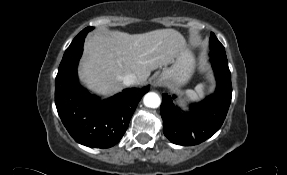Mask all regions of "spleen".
I'll return each instance as SVG.
<instances>
[{"label": "spleen", "instance_id": "1", "mask_svg": "<svg viewBox=\"0 0 287 175\" xmlns=\"http://www.w3.org/2000/svg\"><path fill=\"white\" fill-rule=\"evenodd\" d=\"M206 90V84H198L194 90L187 89L184 91L186 99L191 102H197L204 98Z\"/></svg>", "mask_w": 287, "mask_h": 175}]
</instances>
